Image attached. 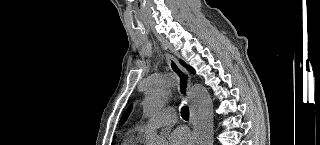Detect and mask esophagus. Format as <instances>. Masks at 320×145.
Masks as SVG:
<instances>
[{"mask_svg": "<svg viewBox=\"0 0 320 145\" xmlns=\"http://www.w3.org/2000/svg\"><path fill=\"white\" fill-rule=\"evenodd\" d=\"M167 61L170 70L176 76L178 82V90L181 95L185 96L187 99L190 98V87H191V78L188 72L179 64L177 59L167 54ZM190 116H192V108L190 106Z\"/></svg>", "mask_w": 320, "mask_h": 145, "instance_id": "esophagus-1", "label": "esophagus"}]
</instances>
